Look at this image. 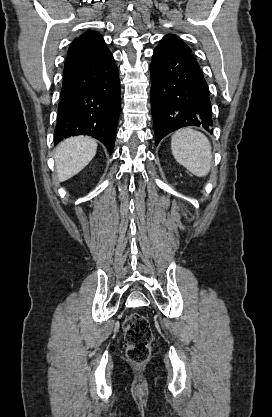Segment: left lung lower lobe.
<instances>
[{"label":"left lung lower lobe","mask_w":272,"mask_h":417,"mask_svg":"<svg viewBox=\"0 0 272 417\" xmlns=\"http://www.w3.org/2000/svg\"><path fill=\"white\" fill-rule=\"evenodd\" d=\"M150 72L156 145L168 133L184 126L212 132L208 85L191 52L157 46Z\"/></svg>","instance_id":"obj_1"}]
</instances>
